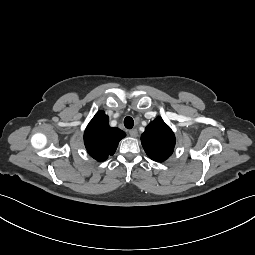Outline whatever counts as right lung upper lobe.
<instances>
[{
	"label": "right lung upper lobe",
	"mask_w": 255,
	"mask_h": 255,
	"mask_svg": "<svg viewBox=\"0 0 255 255\" xmlns=\"http://www.w3.org/2000/svg\"><path fill=\"white\" fill-rule=\"evenodd\" d=\"M125 136L124 131L109 126V117L104 111H98L84 132V143L89 155L102 162L115 153Z\"/></svg>",
	"instance_id": "right-lung-upper-lobe-1"
}]
</instances>
